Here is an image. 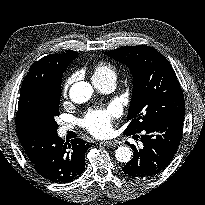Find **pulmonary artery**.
I'll return each mask as SVG.
<instances>
[{
	"label": "pulmonary artery",
	"instance_id": "pulmonary-artery-1",
	"mask_svg": "<svg viewBox=\"0 0 205 205\" xmlns=\"http://www.w3.org/2000/svg\"><path fill=\"white\" fill-rule=\"evenodd\" d=\"M94 85L97 89H99L101 92H110L115 88L116 85V79L115 78H107L104 80L99 81H93ZM72 127L70 125H63L60 128V132L64 134L67 130L71 129Z\"/></svg>",
	"mask_w": 205,
	"mask_h": 205
}]
</instances>
